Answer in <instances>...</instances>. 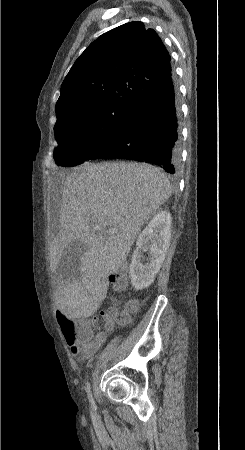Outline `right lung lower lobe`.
I'll return each instance as SVG.
<instances>
[{
    "label": "right lung lower lobe",
    "mask_w": 245,
    "mask_h": 450,
    "mask_svg": "<svg viewBox=\"0 0 245 450\" xmlns=\"http://www.w3.org/2000/svg\"><path fill=\"white\" fill-rule=\"evenodd\" d=\"M179 106L173 74L130 112L122 135L89 159L121 158L147 162L174 174L180 163Z\"/></svg>",
    "instance_id": "right-lung-lower-lobe-1"
}]
</instances>
